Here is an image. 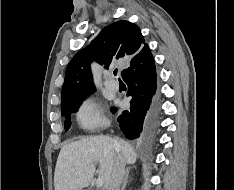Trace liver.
<instances>
[{
	"mask_svg": "<svg viewBox=\"0 0 234 190\" xmlns=\"http://www.w3.org/2000/svg\"><path fill=\"white\" fill-rule=\"evenodd\" d=\"M117 153L122 154L125 164L136 162L133 147L123 139L100 135L64 145L56 162L55 190H82L88 187L95 174L94 163H99V177L106 187Z\"/></svg>",
	"mask_w": 234,
	"mask_h": 190,
	"instance_id": "liver-1",
	"label": "liver"
}]
</instances>
